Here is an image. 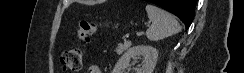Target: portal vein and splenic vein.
<instances>
[{
    "label": "portal vein and splenic vein",
    "mask_w": 244,
    "mask_h": 73,
    "mask_svg": "<svg viewBox=\"0 0 244 73\" xmlns=\"http://www.w3.org/2000/svg\"><path fill=\"white\" fill-rule=\"evenodd\" d=\"M141 35H143V32H137L136 33V36H141Z\"/></svg>",
    "instance_id": "1"
}]
</instances>
